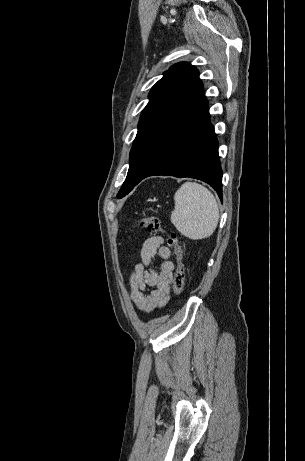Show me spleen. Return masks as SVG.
I'll list each match as a JSON object with an SVG mask.
<instances>
[{"mask_svg":"<svg viewBox=\"0 0 305 461\" xmlns=\"http://www.w3.org/2000/svg\"><path fill=\"white\" fill-rule=\"evenodd\" d=\"M175 207L170 220L176 229L192 240L210 237L219 221L214 195L204 186L185 182L174 195Z\"/></svg>","mask_w":305,"mask_h":461,"instance_id":"3e777b00","label":"spleen"}]
</instances>
